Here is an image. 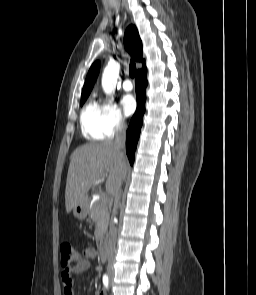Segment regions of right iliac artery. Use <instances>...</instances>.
Masks as SVG:
<instances>
[{"instance_id":"right-iliac-artery-1","label":"right iliac artery","mask_w":256,"mask_h":295,"mask_svg":"<svg viewBox=\"0 0 256 295\" xmlns=\"http://www.w3.org/2000/svg\"><path fill=\"white\" fill-rule=\"evenodd\" d=\"M103 284L107 288L109 284V278L106 274L103 275Z\"/></svg>"}]
</instances>
